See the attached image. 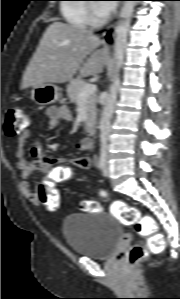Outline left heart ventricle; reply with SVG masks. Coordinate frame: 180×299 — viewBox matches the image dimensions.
I'll use <instances>...</instances> for the list:
<instances>
[{
  "instance_id": "b2bd125f",
  "label": "left heart ventricle",
  "mask_w": 180,
  "mask_h": 299,
  "mask_svg": "<svg viewBox=\"0 0 180 299\" xmlns=\"http://www.w3.org/2000/svg\"><path fill=\"white\" fill-rule=\"evenodd\" d=\"M98 9V8H97ZM98 12L100 13V14H102L100 11H99V9H98Z\"/></svg>"
}]
</instances>
